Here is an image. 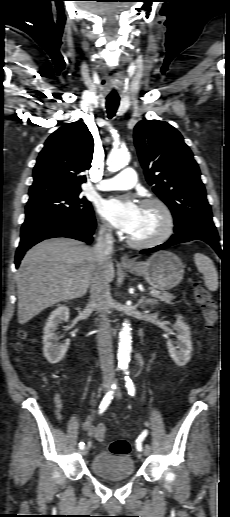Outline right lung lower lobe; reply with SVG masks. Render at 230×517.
<instances>
[{
    "label": "right lung lower lobe",
    "mask_w": 230,
    "mask_h": 517,
    "mask_svg": "<svg viewBox=\"0 0 230 517\" xmlns=\"http://www.w3.org/2000/svg\"><path fill=\"white\" fill-rule=\"evenodd\" d=\"M95 227L94 214H42L27 217L21 228V241L15 255L16 267L19 266L25 252L38 242L54 237H68L90 243Z\"/></svg>",
    "instance_id": "1"
}]
</instances>
